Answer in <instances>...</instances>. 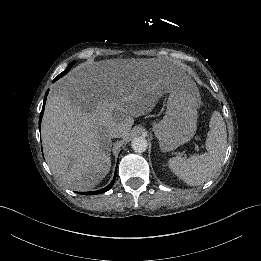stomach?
<instances>
[{
	"mask_svg": "<svg viewBox=\"0 0 261 261\" xmlns=\"http://www.w3.org/2000/svg\"><path fill=\"white\" fill-rule=\"evenodd\" d=\"M169 94L163 119L150 125L158 140L159 151L163 153L174 151L194 137L201 105L199 91L194 85L174 89Z\"/></svg>",
	"mask_w": 261,
	"mask_h": 261,
	"instance_id": "stomach-1",
	"label": "stomach"
}]
</instances>
